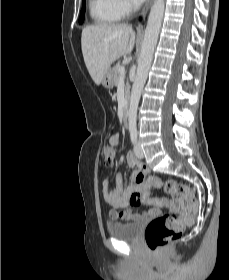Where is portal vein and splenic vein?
Wrapping results in <instances>:
<instances>
[{"label":"portal vein and splenic vein","instance_id":"1","mask_svg":"<svg viewBox=\"0 0 229 280\" xmlns=\"http://www.w3.org/2000/svg\"><path fill=\"white\" fill-rule=\"evenodd\" d=\"M119 72H120V79L123 80L125 78V68L121 67L119 69Z\"/></svg>","mask_w":229,"mask_h":280}]
</instances>
